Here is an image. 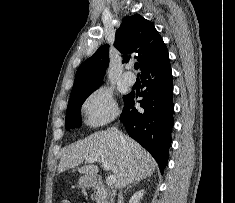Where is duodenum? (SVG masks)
Returning <instances> with one entry per match:
<instances>
[{"label":"duodenum","mask_w":235,"mask_h":203,"mask_svg":"<svg viewBox=\"0 0 235 203\" xmlns=\"http://www.w3.org/2000/svg\"><path fill=\"white\" fill-rule=\"evenodd\" d=\"M92 184L96 187H101L103 185V182L99 177H93Z\"/></svg>","instance_id":"obj_1"}]
</instances>
